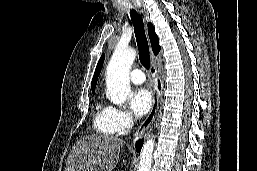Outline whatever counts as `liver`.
<instances>
[{"label":"liver","mask_w":257,"mask_h":171,"mask_svg":"<svg viewBox=\"0 0 257 171\" xmlns=\"http://www.w3.org/2000/svg\"><path fill=\"white\" fill-rule=\"evenodd\" d=\"M123 140L108 135H88L72 147L64 171H112Z\"/></svg>","instance_id":"6515ba94"}]
</instances>
